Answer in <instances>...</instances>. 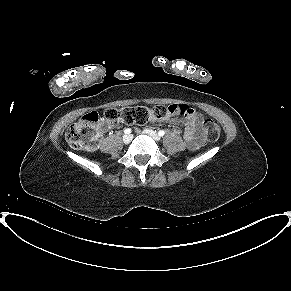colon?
I'll list each match as a JSON object with an SVG mask.
<instances>
[{"label": "colon", "mask_w": 291, "mask_h": 291, "mask_svg": "<svg viewBox=\"0 0 291 291\" xmlns=\"http://www.w3.org/2000/svg\"><path fill=\"white\" fill-rule=\"evenodd\" d=\"M188 106L184 104L170 106H156L149 109L145 106H127L123 108L106 109L102 116L97 112H90L83 116L66 133V141L73 149L93 150L97 147L99 138V121L104 119L110 123L125 122L128 124H145L151 118L162 119L173 114H184ZM203 132L209 142L218 140L220 128L216 122L206 119Z\"/></svg>", "instance_id": "colon-1"}]
</instances>
